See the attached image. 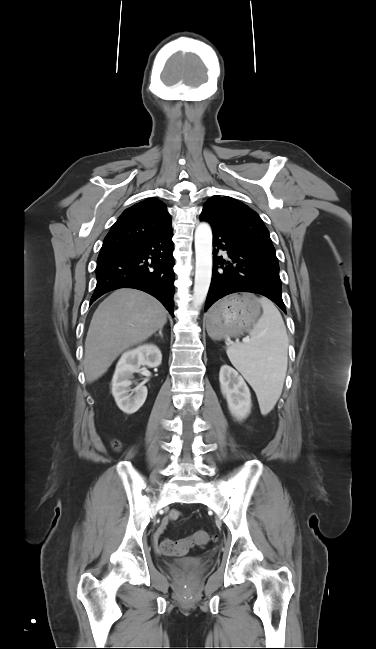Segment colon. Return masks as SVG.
I'll return each mask as SVG.
<instances>
[{
    "instance_id": "colon-1",
    "label": "colon",
    "mask_w": 376,
    "mask_h": 649,
    "mask_svg": "<svg viewBox=\"0 0 376 649\" xmlns=\"http://www.w3.org/2000/svg\"><path fill=\"white\" fill-rule=\"evenodd\" d=\"M113 447L114 449H119L120 444L117 441H113ZM193 541L197 545H206L210 539L211 536L208 532L204 530H199L194 533L192 536ZM189 547V543L185 540H171L168 538H164L161 542V549L163 552L166 554H171V555H181L184 554Z\"/></svg>"
}]
</instances>
